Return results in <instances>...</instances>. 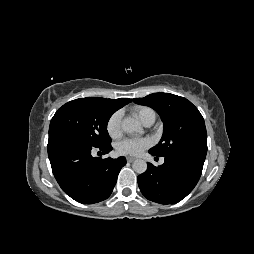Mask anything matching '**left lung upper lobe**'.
<instances>
[{
    "label": "left lung upper lobe",
    "instance_id": "5c2ea615",
    "mask_svg": "<svg viewBox=\"0 0 254 254\" xmlns=\"http://www.w3.org/2000/svg\"><path fill=\"white\" fill-rule=\"evenodd\" d=\"M133 101L153 108L163 121V136L151 152L157 156L187 151L207 154L205 122L189 100L170 93H154Z\"/></svg>",
    "mask_w": 254,
    "mask_h": 254
}]
</instances>
